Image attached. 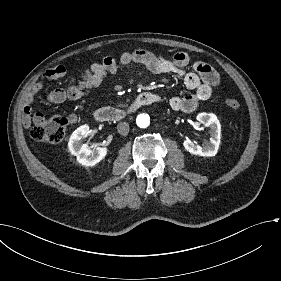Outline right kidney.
<instances>
[{
	"instance_id": "1",
	"label": "right kidney",
	"mask_w": 281,
	"mask_h": 281,
	"mask_svg": "<svg viewBox=\"0 0 281 281\" xmlns=\"http://www.w3.org/2000/svg\"><path fill=\"white\" fill-rule=\"evenodd\" d=\"M90 134L87 124L78 127L70 136L68 148L72 155L76 156L77 161L84 166H94L100 162L107 154V148L97 147L90 149L83 143V139Z\"/></svg>"
}]
</instances>
